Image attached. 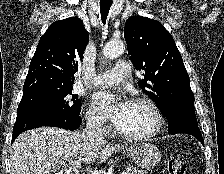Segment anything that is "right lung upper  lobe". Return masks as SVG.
<instances>
[{"label":"right lung upper lobe","instance_id":"1","mask_svg":"<svg viewBox=\"0 0 224 174\" xmlns=\"http://www.w3.org/2000/svg\"><path fill=\"white\" fill-rule=\"evenodd\" d=\"M87 40L88 34L77 17L52 23L31 60L23 94L46 88H72Z\"/></svg>","mask_w":224,"mask_h":174}]
</instances>
